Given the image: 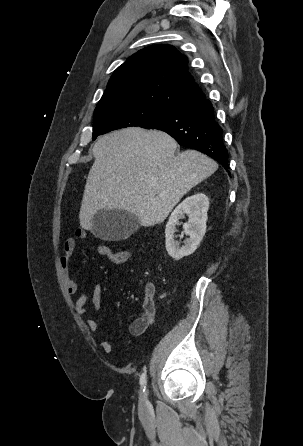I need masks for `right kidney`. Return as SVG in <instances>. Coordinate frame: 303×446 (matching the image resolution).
Here are the masks:
<instances>
[{
  "label": "right kidney",
  "mask_w": 303,
  "mask_h": 446,
  "mask_svg": "<svg viewBox=\"0 0 303 446\" xmlns=\"http://www.w3.org/2000/svg\"><path fill=\"white\" fill-rule=\"evenodd\" d=\"M209 199L203 193L187 197L171 213L165 229L166 250L174 260H180L191 255L200 244L206 232L207 211ZM188 216V222L183 225L186 235L189 236L180 247L179 242L174 240V233L179 219Z\"/></svg>",
  "instance_id": "1"
}]
</instances>
